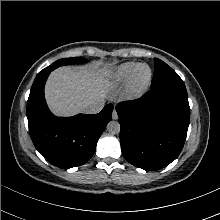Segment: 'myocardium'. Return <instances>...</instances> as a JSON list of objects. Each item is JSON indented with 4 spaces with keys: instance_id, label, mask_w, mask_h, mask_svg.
Masks as SVG:
<instances>
[{
    "instance_id": "obj_1",
    "label": "myocardium",
    "mask_w": 220,
    "mask_h": 220,
    "mask_svg": "<svg viewBox=\"0 0 220 220\" xmlns=\"http://www.w3.org/2000/svg\"><path fill=\"white\" fill-rule=\"evenodd\" d=\"M142 68L147 69V74L145 76L140 75V70ZM152 77L151 69L146 64L138 65L131 77V94L136 95L141 92L150 83Z\"/></svg>"
}]
</instances>
